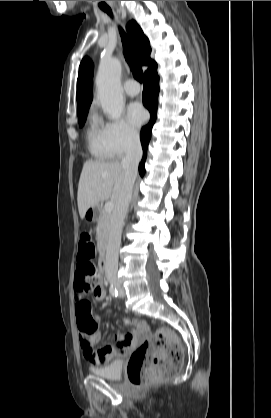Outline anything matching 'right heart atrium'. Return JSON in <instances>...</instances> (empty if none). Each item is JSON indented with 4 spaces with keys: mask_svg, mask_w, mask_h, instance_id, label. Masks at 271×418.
I'll list each match as a JSON object with an SVG mask.
<instances>
[{
    "mask_svg": "<svg viewBox=\"0 0 271 418\" xmlns=\"http://www.w3.org/2000/svg\"><path fill=\"white\" fill-rule=\"evenodd\" d=\"M107 144L114 156L135 149L139 143L138 131L124 119L107 122L104 125Z\"/></svg>",
    "mask_w": 271,
    "mask_h": 418,
    "instance_id": "obj_1",
    "label": "right heart atrium"
}]
</instances>
